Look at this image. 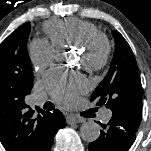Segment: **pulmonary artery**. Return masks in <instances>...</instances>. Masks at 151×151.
<instances>
[{"label":"pulmonary artery","instance_id":"obj_1","mask_svg":"<svg viewBox=\"0 0 151 151\" xmlns=\"http://www.w3.org/2000/svg\"><path fill=\"white\" fill-rule=\"evenodd\" d=\"M34 101H35V104H37V105H43L46 102L45 98L41 95L35 96ZM111 115H112V113L110 110H104L101 114V119L103 121L107 122L110 120Z\"/></svg>","mask_w":151,"mask_h":151}]
</instances>
